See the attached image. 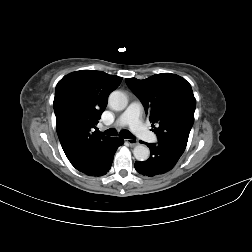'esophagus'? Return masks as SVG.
Listing matches in <instances>:
<instances>
[{"mask_svg": "<svg viewBox=\"0 0 252 252\" xmlns=\"http://www.w3.org/2000/svg\"><path fill=\"white\" fill-rule=\"evenodd\" d=\"M126 141L130 146H135L138 143L135 139H127Z\"/></svg>", "mask_w": 252, "mask_h": 252, "instance_id": "1", "label": "esophagus"}]
</instances>
